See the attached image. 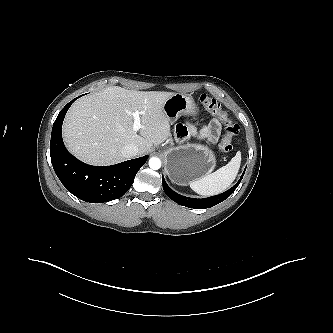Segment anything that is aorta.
I'll use <instances>...</instances> for the list:
<instances>
[{"mask_svg":"<svg viewBox=\"0 0 333 333\" xmlns=\"http://www.w3.org/2000/svg\"><path fill=\"white\" fill-rule=\"evenodd\" d=\"M149 167L153 170H158L161 167V161L157 157H152L149 159Z\"/></svg>","mask_w":333,"mask_h":333,"instance_id":"aorta-1","label":"aorta"}]
</instances>
